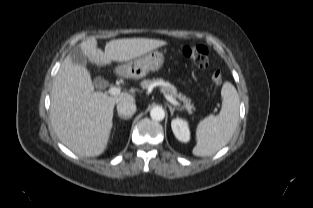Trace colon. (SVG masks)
<instances>
[{"label":"colon","mask_w":313,"mask_h":208,"mask_svg":"<svg viewBox=\"0 0 313 208\" xmlns=\"http://www.w3.org/2000/svg\"><path fill=\"white\" fill-rule=\"evenodd\" d=\"M183 56L199 68H207L210 63V54L206 46L200 44H190L183 48ZM212 80L220 85L223 82L221 71L215 69L212 72Z\"/></svg>","instance_id":"obj_1"}]
</instances>
